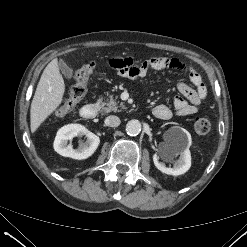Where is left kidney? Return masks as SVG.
I'll list each match as a JSON object with an SVG mask.
<instances>
[{"label": "left kidney", "mask_w": 247, "mask_h": 247, "mask_svg": "<svg viewBox=\"0 0 247 247\" xmlns=\"http://www.w3.org/2000/svg\"><path fill=\"white\" fill-rule=\"evenodd\" d=\"M179 135L185 140L186 147H170L168 145H165V152L170 156L173 157L174 155H180L179 159L174 163L173 168L166 167L165 163L159 162V158L157 154L153 155V162L154 165L158 170H160L162 173L178 176L186 173L190 166H191V154L189 147L191 145V135L190 133L185 130L181 129L179 131Z\"/></svg>", "instance_id": "obj_1"}]
</instances>
